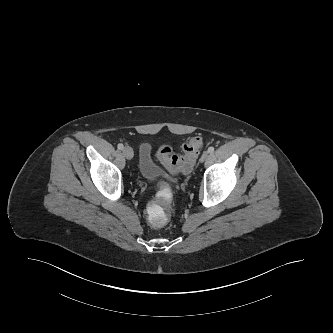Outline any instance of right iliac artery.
I'll list each match as a JSON object with an SVG mask.
<instances>
[{"label":"right iliac artery","instance_id":"right-iliac-artery-1","mask_svg":"<svg viewBox=\"0 0 333 333\" xmlns=\"http://www.w3.org/2000/svg\"><path fill=\"white\" fill-rule=\"evenodd\" d=\"M117 147H118V149H120V150H122V149L124 148L123 144H121V143H120V144H118V146H117Z\"/></svg>","mask_w":333,"mask_h":333}]
</instances>
